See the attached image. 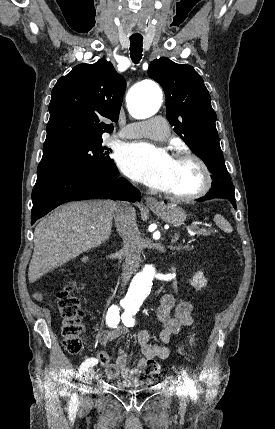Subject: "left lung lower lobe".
Segmentation results:
<instances>
[{
	"instance_id": "0a47b994",
	"label": "left lung lower lobe",
	"mask_w": 275,
	"mask_h": 429,
	"mask_svg": "<svg viewBox=\"0 0 275 429\" xmlns=\"http://www.w3.org/2000/svg\"><path fill=\"white\" fill-rule=\"evenodd\" d=\"M213 198L227 199L231 202L233 207L236 209L234 189L228 186L223 185V186L212 187V189L207 193V195L204 196L203 198L198 199V201H205Z\"/></svg>"
}]
</instances>
